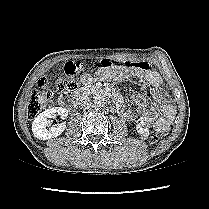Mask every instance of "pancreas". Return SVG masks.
Returning a JSON list of instances; mask_svg holds the SVG:
<instances>
[{
	"label": "pancreas",
	"instance_id": "1",
	"mask_svg": "<svg viewBox=\"0 0 209 209\" xmlns=\"http://www.w3.org/2000/svg\"><path fill=\"white\" fill-rule=\"evenodd\" d=\"M95 89H96L95 87H91V88H90V90L93 91V92L96 91Z\"/></svg>",
	"mask_w": 209,
	"mask_h": 209
}]
</instances>
